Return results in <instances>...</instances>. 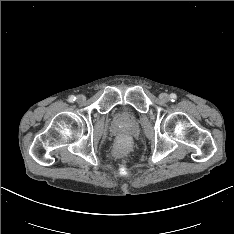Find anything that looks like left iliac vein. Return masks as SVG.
Segmentation results:
<instances>
[{"instance_id":"1","label":"left iliac vein","mask_w":234,"mask_h":234,"mask_svg":"<svg viewBox=\"0 0 234 234\" xmlns=\"http://www.w3.org/2000/svg\"><path fill=\"white\" fill-rule=\"evenodd\" d=\"M159 99L163 102V103H166V102H168L169 101V95L168 94H166V93H161L160 95H159Z\"/></svg>"}]
</instances>
